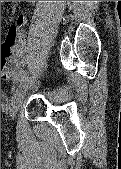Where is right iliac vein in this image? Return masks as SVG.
Here are the masks:
<instances>
[{
    "mask_svg": "<svg viewBox=\"0 0 121 169\" xmlns=\"http://www.w3.org/2000/svg\"><path fill=\"white\" fill-rule=\"evenodd\" d=\"M37 76H32L25 81H22L15 91L12 100H11V108H10V116L14 119L16 113L18 112L21 103L23 101L26 92L31 88V86L35 83Z\"/></svg>",
    "mask_w": 121,
    "mask_h": 169,
    "instance_id": "obj_1",
    "label": "right iliac vein"
}]
</instances>
